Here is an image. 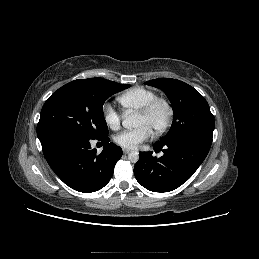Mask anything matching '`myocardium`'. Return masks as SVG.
<instances>
[{
	"instance_id": "1",
	"label": "myocardium",
	"mask_w": 259,
	"mask_h": 259,
	"mask_svg": "<svg viewBox=\"0 0 259 259\" xmlns=\"http://www.w3.org/2000/svg\"><path fill=\"white\" fill-rule=\"evenodd\" d=\"M159 105H162L165 107L167 116L164 123L154 131V134L157 136L164 134L171 126L173 116H174V110L170 101L163 97H156L151 101H149L138 111V114L142 116H149L154 111V109Z\"/></svg>"
}]
</instances>
